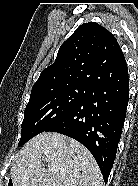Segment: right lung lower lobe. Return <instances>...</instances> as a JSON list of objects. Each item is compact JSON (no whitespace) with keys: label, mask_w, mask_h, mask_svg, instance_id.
<instances>
[{"label":"right lung lower lobe","mask_w":138,"mask_h":186,"mask_svg":"<svg viewBox=\"0 0 138 186\" xmlns=\"http://www.w3.org/2000/svg\"><path fill=\"white\" fill-rule=\"evenodd\" d=\"M129 98V81L88 89L84 100L49 127L82 143L94 156L108 180L121 137Z\"/></svg>","instance_id":"right-lung-lower-lobe-1"}]
</instances>
